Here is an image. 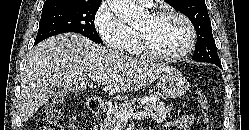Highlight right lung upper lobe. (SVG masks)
<instances>
[{"label":"right lung upper lobe","instance_id":"right-lung-upper-lobe-1","mask_svg":"<svg viewBox=\"0 0 249 130\" xmlns=\"http://www.w3.org/2000/svg\"><path fill=\"white\" fill-rule=\"evenodd\" d=\"M56 1H61V0H46L45 4H50ZM69 1H79V2H96V3H100L102 0H69Z\"/></svg>","mask_w":249,"mask_h":130}]
</instances>
